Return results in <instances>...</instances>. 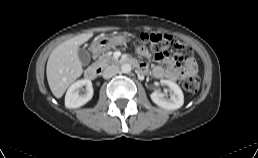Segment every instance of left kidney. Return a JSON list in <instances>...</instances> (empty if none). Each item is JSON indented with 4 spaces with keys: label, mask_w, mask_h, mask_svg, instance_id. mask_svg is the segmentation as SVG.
I'll use <instances>...</instances> for the list:
<instances>
[{
    "label": "left kidney",
    "mask_w": 258,
    "mask_h": 158,
    "mask_svg": "<svg viewBox=\"0 0 258 158\" xmlns=\"http://www.w3.org/2000/svg\"><path fill=\"white\" fill-rule=\"evenodd\" d=\"M160 83L170 88V90L172 91V93L170 94V98H166L162 93L154 91L150 95L151 100L159 107L168 110H175L183 106L184 95L181 88L176 83L170 80L162 79Z\"/></svg>",
    "instance_id": "1"
}]
</instances>
